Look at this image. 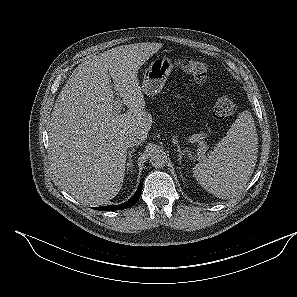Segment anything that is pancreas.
<instances>
[{"instance_id":"obj_1","label":"pancreas","mask_w":297,"mask_h":297,"mask_svg":"<svg viewBox=\"0 0 297 297\" xmlns=\"http://www.w3.org/2000/svg\"><path fill=\"white\" fill-rule=\"evenodd\" d=\"M204 136H205L204 134H195L190 138V140L193 142H201Z\"/></svg>"}]
</instances>
